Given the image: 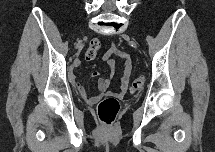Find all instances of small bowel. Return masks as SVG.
<instances>
[{
	"label": "small bowel",
	"mask_w": 215,
	"mask_h": 152,
	"mask_svg": "<svg viewBox=\"0 0 215 152\" xmlns=\"http://www.w3.org/2000/svg\"><path fill=\"white\" fill-rule=\"evenodd\" d=\"M112 55L120 56L124 61L123 71L120 79L119 91L115 93L117 97H123L126 93L130 75H131L132 58L127 52L120 50L115 44H112L111 49L104 54V59L107 61L108 65L112 69L115 68L116 66V61L114 58H112ZM91 76L98 77L99 73L97 71H94L91 73ZM70 77L78 93L90 103H95L102 96L106 95L108 91V87L111 82L110 78H99L97 81V87H98L99 93L97 95L90 96L88 95L85 87L81 83L76 81L74 73H71Z\"/></svg>",
	"instance_id": "small-bowel-1"
}]
</instances>
